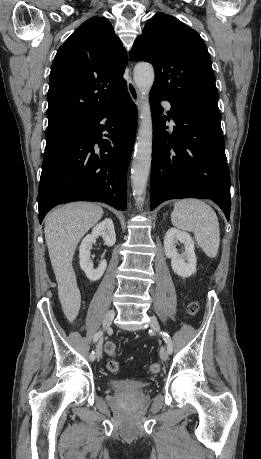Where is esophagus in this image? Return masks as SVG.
<instances>
[{"mask_svg": "<svg viewBox=\"0 0 261 459\" xmlns=\"http://www.w3.org/2000/svg\"><path fill=\"white\" fill-rule=\"evenodd\" d=\"M127 89L131 96V99L133 100V102L136 104V106L140 110L141 109V95H140L139 90L136 88V86L134 85L131 79L127 82Z\"/></svg>", "mask_w": 261, "mask_h": 459, "instance_id": "34e87169", "label": "esophagus"}]
</instances>
